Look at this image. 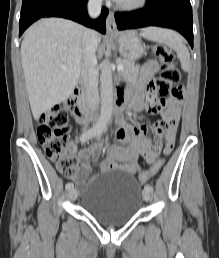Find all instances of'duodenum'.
Returning a JSON list of instances; mask_svg holds the SVG:
<instances>
[{
	"mask_svg": "<svg viewBox=\"0 0 219 258\" xmlns=\"http://www.w3.org/2000/svg\"><path fill=\"white\" fill-rule=\"evenodd\" d=\"M67 105L72 111L75 119L80 124H87L93 120L94 112L92 109L86 106L84 102V88L78 86L74 88L71 95L68 98ZM126 105L125 97L120 96L119 94L115 100V116L118 117L121 115L124 107Z\"/></svg>",
	"mask_w": 219,
	"mask_h": 258,
	"instance_id": "410a0bca",
	"label": "duodenum"
}]
</instances>
